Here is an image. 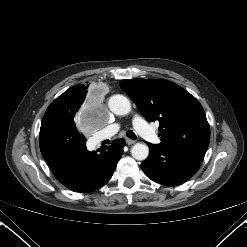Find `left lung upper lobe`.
<instances>
[{
    "label": "left lung upper lobe",
    "instance_id": "5c2ea615",
    "mask_svg": "<svg viewBox=\"0 0 247 247\" xmlns=\"http://www.w3.org/2000/svg\"><path fill=\"white\" fill-rule=\"evenodd\" d=\"M121 88L148 122L158 121L161 145L197 141L209 143L210 129L198 100L165 79L122 80Z\"/></svg>",
    "mask_w": 247,
    "mask_h": 247
}]
</instances>
